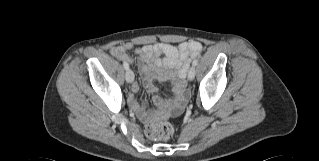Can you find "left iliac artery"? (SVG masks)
<instances>
[{
	"label": "left iliac artery",
	"instance_id": "1",
	"mask_svg": "<svg viewBox=\"0 0 319 161\" xmlns=\"http://www.w3.org/2000/svg\"><path fill=\"white\" fill-rule=\"evenodd\" d=\"M197 64H198V60L195 59V60L193 61V66H196Z\"/></svg>",
	"mask_w": 319,
	"mask_h": 161
}]
</instances>
